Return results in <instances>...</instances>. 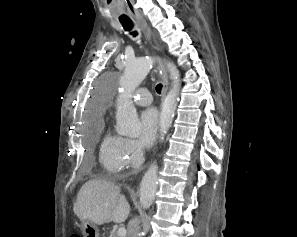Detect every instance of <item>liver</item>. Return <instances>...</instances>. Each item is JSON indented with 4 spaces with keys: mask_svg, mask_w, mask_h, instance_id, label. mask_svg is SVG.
<instances>
[{
    "mask_svg": "<svg viewBox=\"0 0 297 237\" xmlns=\"http://www.w3.org/2000/svg\"><path fill=\"white\" fill-rule=\"evenodd\" d=\"M74 213L80 220H87L96 225L122 223L130 213V206L120 187L111 182L90 180L77 195Z\"/></svg>",
    "mask_w": 297,
    "mask_h": 237,
    "instance_id": "liver-1",
    "label": "liver"
}]
</instances>
